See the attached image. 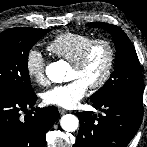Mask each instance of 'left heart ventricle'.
<instances>
[{"label": "left heart ventricle", "mask_w": 147, "mask_h": 147, "mask_svg": "<svg viewBox=\"0 0 147 147\" xmlns=\"http://www.w3.org/2000/svg\"><path fill=\"white\" fill-rule=\"evenodd\" d=\"M108 62V51L104 45H98L91 53L87 63L81 69L71 67L69 80L81 79L88 85L96 82L104 73Z\"/></svg>", "instance_id": "left-heart-ventricle-1"}]
</instances>
